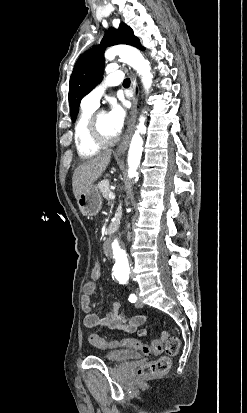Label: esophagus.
I'll return each mask as SVG.
<instances>
[{"label":"esophagus","instance_id":"esophagus-1","mask_svg":"<svg viewBox=\"0 0 247 413\" xmlns=\"http://www.w3.org/2000/svg\"><path fill=\"white\" fill-rule=\"evenodd\" d=\"M133 83H134V85L136 84V80L134 78H133ZM137 106H138V98L136 96H134L133 100H132V106H131V110H130V119H129L127 130H126V133H125L121 143L117 147V152L119 154L124 153V151L126 150V148L128 147V145L130 143V138L133 134L134 125H135L136 118H137Z\"/></svg>","mask_w":247,"mask_h":413}]
</instances>
